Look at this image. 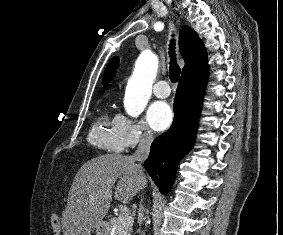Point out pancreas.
<instances>
[{"label": "pancreas", "instance_id": "pancreas-1", "mask_svg": "<svg viewBox=\"0 0 283 235\" xmlns=\"http://www.w3.org/2000/svg\"><path fill=\"white\" fill-rule=\"evenodd\" d=\"M113 235H132L133 217L129 215H119L110 220Z\"/></svg>", "mask_w": 283, "mask_h": 235}]
</instances>
